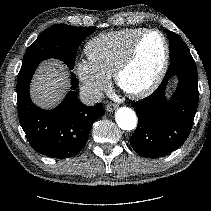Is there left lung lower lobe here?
Here are the masks:
<instances>
[{"label":"left lung lower lobe","mask_w":211,"mask_h":211,"mask_svg":"<svg viewBox=\"0 0 211 211\" xmlns=\"http://www.w3.org/2000/svg\"><path fill=\"white\" fill-rule=\"evenodd\" d=\"M170 48H176L181 38L169 34ZM178 76L177 89L166 100L167 81ZM198 75L190 52L171 59L169 69L153 94L133 103L138 125L130 138L132 148L142 157L156 158L179 148L187 139L198 106Z\"/></svg>","instance_id":"0a47b994"}]
</instances>
